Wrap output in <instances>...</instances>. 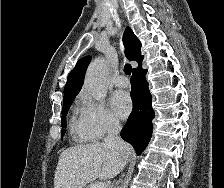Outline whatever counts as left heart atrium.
<instances>
[{
  "instance_id": "left-heart-atrium-1",
  "label": "left heart atrium",
  "mask_w": 224,
  "mask_h": 188,
  "mask_svg": "<svg viewBox=\"0 0 224 188\" xmlns=\"http://www.w3.org/2000/svg\"><path fill=\"white\" fill-rule=\"evenodd\" d=\"M111 107L118 117L126 118L132 110L130 96L124 91H116L111 97Z\"/></svg>"
}]
</instances>
